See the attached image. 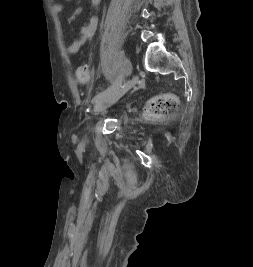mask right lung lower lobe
<instances>
[{
	"mask_svg": "<svg viewBox=\"0 0 253 267\" xmlns=\"http://www.w3.org/2000/svg\"><path fill=\"white\" fill-rule=\"evenodd\" d=\"M148 213H149V217H152V216H155L158 213V211L152 209V210H149Z\"/></svg>",
	"mask_w": 253,
	"mask_h": 267,
	"instance_id": "98d812e1",
	"label": "right lung lower lobe"
}]
</instances>
